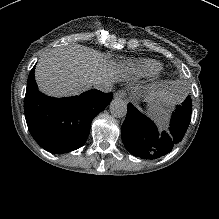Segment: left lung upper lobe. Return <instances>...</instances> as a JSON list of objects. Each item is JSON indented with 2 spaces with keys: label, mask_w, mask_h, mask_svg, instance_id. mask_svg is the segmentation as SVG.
I'll return each instance as SVG.
<instances>
[{
  "label": "left lung upper lobe",
  "mask_w": 219,
  "mask_h": 219,
  "mask_svg": "<svg viewBox=\"0 0 219 219\" xmlns=\"http://www.w3.org/2000/svg\"><path fill=\"white\" fill-rule=\"evenodd\" d=\"M184 108L188 109V110H192V102H191V98L190 96H188L186 98V100L184 101V103H182V105Z\"/></svg>",
  "instance_id": "left-lung-upper-lobe-1"
}]
</instances>
